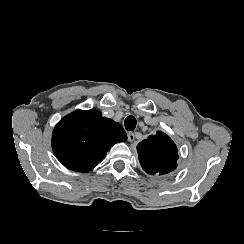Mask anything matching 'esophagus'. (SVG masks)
<instances>
[{
    "mask_svg": "<svg viewBox=\"0 0 244 244\" xmlns=\"http://www.w3.org/2000/svg\"><path fill=\"white\" fill-rule=\"evenodd\" d=\"M128 141L133 142L135 140V134L131 131L127 133Z\"/></svg>",
    "mask_w": 244,
    "mask_h": 244,
    "instance_id": "esophagus-1",
    "label": "esophagus"
}]
</instances>
